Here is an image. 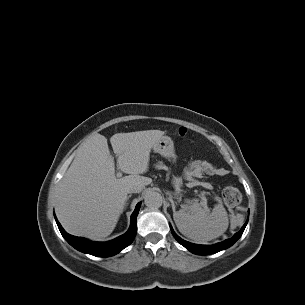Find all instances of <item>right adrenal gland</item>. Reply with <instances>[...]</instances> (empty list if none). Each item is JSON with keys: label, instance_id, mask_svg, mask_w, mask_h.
Instances as JSON below:
<instances>
[{"label": "right adrenal gland", "instance_id": "right-adrenal-gland-1", "mask_svg": "<svg viewBox=\"0 0 305 305\" xmlns=\"http://www.w3.org/2000/svg\"><path fill=\"white\" fill-rule=\"evenodd\" d=\"M130 197H131V195H129V196L127 197V199H126V203H125V205H124V210H125L126 207L128 206V200H129Z\"/></svg>", "mask_w": 305, "mask_h": 305}]
</instances>
